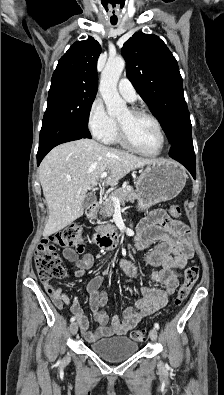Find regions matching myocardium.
<instances>
[{
  "label": "myocardium",
  "instance_id": "f54148a6",
  "mask_svg": "<svg viewBox=\"0 0 224 395\" xmlns=\"http://www.w3.org/2000/svg\"><path fill=\"white\" fill-rule=\"evenodd\" d=\"M129 112L133 116H145V117L151 119L155 123V125L159 131L160 138H161V144H160L158 151H156V152H146V151L140 149L133 142L127 128L120 121H117L118 136H119V140L122 143V145H124L131 151H134V152L144 155V156L157 157V156L161 155L165 149L166 136H165V132L163 130L160 120L154 114H152L151 112H149L143 108L132 107L129 109Z\"/></svg>",
  "mask_w": 224,
  "mask_h": 395
}]
</instances>
